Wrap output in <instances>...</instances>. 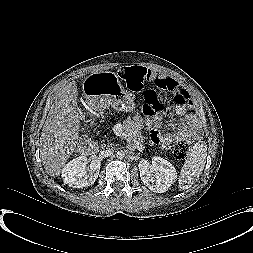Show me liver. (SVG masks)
Returning a JSON list of instances; mask_svg holds the SVG:
<instances>
[{"instance_id": "liver-1", "label": "liver", "mask_w": 253, "mask_h": 253, "mask_svg": "<svg viewBox=\"0 0 253 253\" xmlns=\"http://www.w3.org/2000/svg\"><path fill=\"white\" fill-rule=\"evenodd\" d=\"M77 99L75 81L58 88L55 101L43 125L40 154L45 171L50 176L60 175L78 143L80 116Z\"/></svg>"}]
</instances>
